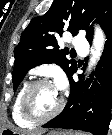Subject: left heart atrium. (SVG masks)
Returning <instances> with one entry per match:
<instances>
[{
	"instance_id": "obj_1",
	"label": "left heart atrium",
	"mask_w": 112,
	"mask_h": 135,
	"mask_svg": "<svg viewBox=\"0 0 112 135\" xmlns=\"http://www.w3.org/2000/svg\"><path fill=\"white\" fill-rule=\"evenodd\" d=\"M65 86V80L62 75H58L55 80V87L58 91L62 90Z\"/></svg>"
}]
</instances>
